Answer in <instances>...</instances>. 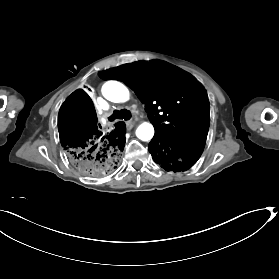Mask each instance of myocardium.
<instances>
[{
    "label": "myocardium",
    "instance_id": "f54148a6",
    "mask_svg": "<svg viewBox=\"0 0 279 279\" xmlns=\"http://www.w3.org/2000/svg\"><path fill=\"white\" fill-rule=\"evenodd\" d=\"M103 129H102V127L100 126L99 128H98V133H103Z\"/></svg>",
    "mask_w": 279,
    "mask_h": 279
}]
</instances>
